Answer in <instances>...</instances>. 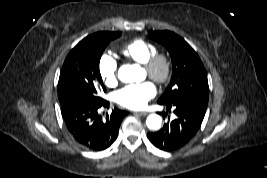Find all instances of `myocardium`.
I'll return each mask as SVG.
<instances>
[{"label":"myocardium","instance_id":"obj_1","mask_svg":"<svg viewBox=\"0 0 267 178\" xmlns=\"http://www.w3.org/2000/svg\"><path fill=\"white\" fill-rule=\"evenodd\" d=\"M146 74L156 83H166L172 73L170 57L163 52H155L143 64Z\"/></svg>","mask_w":267,"mask_h":178}]
</instances>
